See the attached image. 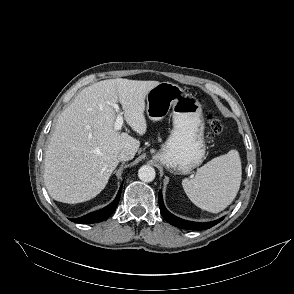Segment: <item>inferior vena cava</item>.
<instances>
[{
  "instance_id": "inferior-vena-cava-1",
  "label": "inferior vena cava",
  "mask_w": 294,
  "mask_h": 294,
  "mask_svg": "<svg viewBox=\"0 0 294 294\" xmlns=\"http://www.w3.org/2000/svg\"><path fill=\"white\" fill-rule=\"evenodd\" d=\"M132 158L133 156L129 152L124 150L118 154V160L121 162L131 160Z\"/></svg>"
}]
</instances>
